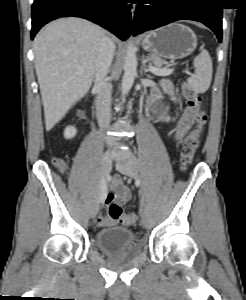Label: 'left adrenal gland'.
Segmentation results:
<instances>
[{"label": "left adrenal gland", "mask_w": 246, "mask_h": 300, "mask_svg": "<svg viewBox=\"0 0 246 300\" xmlns=\"http://www.w3.org/2000/svg\"><path fill=\"white\" fill-rule=\"evenodd\" d=\"M144 70H145V73L148 71V70L146 69V66H145V64H144ZM147 76L151 78V76H150V75H147Z\"/></svg>", "instance_id": "1"}]
</instances>
